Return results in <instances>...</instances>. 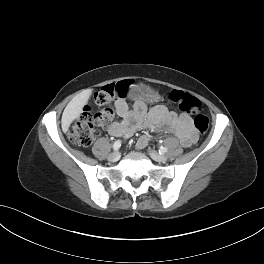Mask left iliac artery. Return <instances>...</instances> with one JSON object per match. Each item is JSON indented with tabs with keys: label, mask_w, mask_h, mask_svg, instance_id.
I'll use <instances>...</instances> for the list:
<instances>
[{
	"label": "left iliac artery",
	"mask_w": 264,
	"mask_h": 264,
	"mask_svg": "<svg viewBox=\"0 0 264 264\" xmlns=\"http://www.w3.org/2000/svg\"><path fill=\"white\" fill-rule=\"evenodd\" d=\"M167 152V148L166 147H160V149H159V153L160 154H164V153H166Z\"/></svg>",
	"instance_id": "left-iliac-artery-1"
}]
</instances>
